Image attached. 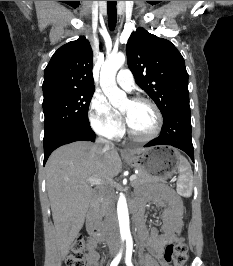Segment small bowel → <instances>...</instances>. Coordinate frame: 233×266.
<instances>
[{"instance_id":"c3829d8e","label":"small bowel","mask_w":233,"mask_h":266,"mask_svg":"<svg viewBox=\"0 0 233 266\" xmlns=\"http://www.w3.org/2000/svg\"><path fill=\"white\" fill-rule=\"evenodd\" d=\"M151 200L162 209V226L149 229L141 216L136 222V227L141 243L147 246L158 260H162L164 247L171 243L182 229L183 204L181 199L169 188H163ZM146 201V198L138 200L136 205L141 208V211H143ZM98 245L99 242L94 239L88 243V266H99ZM162 265L166 266L164 262Z\"/></svg>"}]
</instances>
